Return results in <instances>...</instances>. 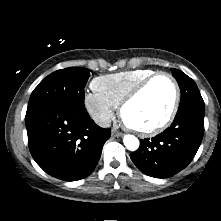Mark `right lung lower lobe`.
<instances>
[{
    "mask_svg": "<svg viewBox=\"0 0 221 221\" xmlns=\"http://www.w3.org/2000/svg\"><path fill=\"white\" fill-rule=\"evenodd\" d=\"M25 123L33 159L49 175L65 181L89 176L111 135L84 106L65 103L27 111Z\"/></svg>",
    "mask_w": 221,
    "mask_h": 221,
    "instance_id": "98d812e1",
    "label": "right lung lower lobe"
}]
</instances>
